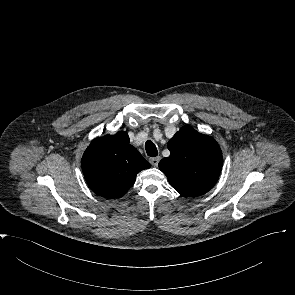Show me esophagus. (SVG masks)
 Masks as SVG:
<instances>
[{
  "label": "esophagus",
  "mask_w": 295,
  "mask_h": 295,
  "mask_svg": "<svg viewBox=\"0 0 295 295\" xmlns=\"http://www.w3.org/2000/svg\"><path fill=\"white\" fill-rule=\"evenodd\" d=\"M150 163L153 165V166H157L159 161H160V157L157 156V157H151L149 159Z\"/></svg>",
  "instance_id": "obj_1"
}]
</instances>
